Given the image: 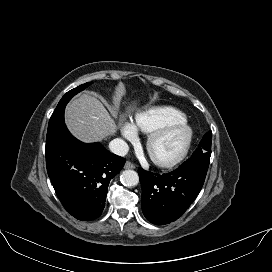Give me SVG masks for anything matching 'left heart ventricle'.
<instances>
[{"mask_svg": "<svg viewBox=\"0 0 272 272\" xmlns=\"http://www.w3.org/2000/svg\"><path fill=\"white\" fill-rule=\"evenodd\" d=\"M184 132L176 130L159 139L153 148V153L159 158H170L178 153L184 141Z\"/></svg>", "mask_w": 272, "mask_h": 272, "instance_id": "1", "label": "left heart ventricle"}]
</instances>
